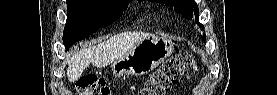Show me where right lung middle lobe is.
I'll list each match as a JSON object with an SVG mask.
<instances>
[{"instance_id":"right-lung-middle-lobe-1","label":"right lung middle lobe","mask_w":277,"mask_h":95,"mask_svg":"<svg viewBox=\"0 0 277 95\" xmlns=\"http://www.w3.org/2000/svg\"><path fill=\"white\" fill-rule=\"evenodd\" d=\"M131 0H67L63 43L66 50L97 29L117 20Z\"/></svg>"}]
</instances>
